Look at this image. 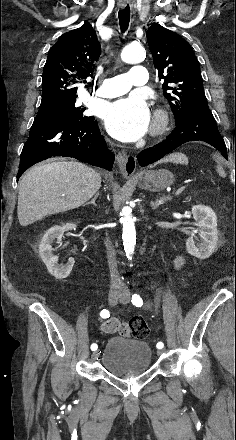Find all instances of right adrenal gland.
Masks as SVG:
<instances>
[{
    "mask_svg": "<svg viewBox=\"0 0 236 440\" xmlns=\"http://www.w3.org/2000/svg\"><path fill=\"white\" fill-rule=\"evenodd\" d=\"M99 197V193H97L95 196H94V198L90 201V202H88V203H86V205H89V204H93L95 207L97 206V204H96V199Z\"/></svg>",
    "mask_w": 236,
    "mask_h": 440,
    "instance_id": "2a0ac1e0",
    "label": "right adrenal gland"
}]
</instances>
